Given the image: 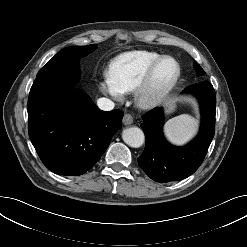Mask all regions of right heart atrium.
Returning a JSON list of instances; mask_svg holds the SVG:
<instances>
[{
  "mask_svg": "<svg viewBox=\"0 0 247 247\" xmlns=\"http://www.w3.org/2000/svg\"><path fill=\"white\" fill-rule=\"evenodd\" d=\"M99 88L103 93L110 95L115 99H120L122 92L114 85L109 75H105L99 84Z\"/></svg>",
  "mask_w": 247,
  "mask_h": 247,
  "instance_id": "obj_1",
  "label": "right heart atrium"
}]
</instances>
